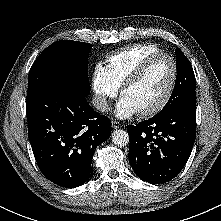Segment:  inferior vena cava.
Instances as JSON below:
<instances>
[{
    "mask_svg": "<svg viewBox=\"0 0 221 221\" xmlns=\"http://www.w3.org/2000/svg\"><path fill=\"white\" fill-rule=\"evenodd\" d=\"M92 104L97 110L102 112H107L110 109L107 99L103 95H94L92 98Z\"/></svg>",
    "mask_w": 221,
    "mask_h": 221,
    "instance_id": "1",
    "label": "inferior vena cava"
}]
</instances>
